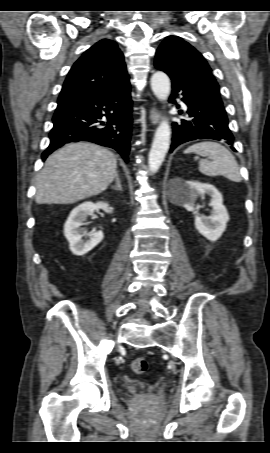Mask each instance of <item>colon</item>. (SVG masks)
<instances>
[{
	"label": "colon",
	"mask_w": 270,
	"mask_h": 453,
	"mask_svg": "<svg viewBox=\"0 0 270 453\" xmlns=\"http://www.w3.org/2000/svg\"><path fill=\"white\" fill-rule=\"evenodd\" d=\"M133 371L137 374H142L148 369V362L144 357H136L131 363Z\"/></svg>",
	"instance_id": "obj_1"
}]
</instances>
